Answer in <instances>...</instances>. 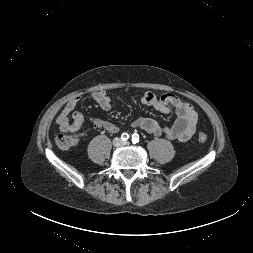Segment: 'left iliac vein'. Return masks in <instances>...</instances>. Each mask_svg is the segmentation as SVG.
Here are the masks:
<instances>
[{
    "label": "left iliac vein",
    "instance_id": "obj_1",
    "mask_svg": "<svg viewBox=\"0 0 253 253\" xmlns=\"http://www.w3.org/2000/svg\"><path fill=\"white\" fill-rule=\"evenodd\" d=\"M122 144H123V145H128L129 143H128V142H123Z\"/></svg>",
    "mask_w": 253,
    "mask_h": 253
}]
</instances>
